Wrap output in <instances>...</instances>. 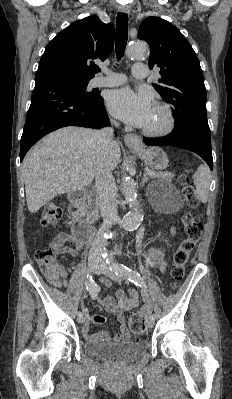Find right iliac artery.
<instances>
[{"instance_id":"82829eb1","label":"right iliac artery","mask_w":232,"mask_h":399,"mask_svg":"<svg viewBox=\"0 0 232 399\" xmlns=\"http://www.w3.org/2000/svg\"><path fill=\"white\" fill-rule=\"evenodd\" d=\"M85 285H86V290L89 292L91 297H97V294H98V291H97L98 285H97V283L92 278H89L87 280V282L85 283ZM82 315L83 314H82L81 311L77 312V316L78 317H81Z\"/></svg>"}]
</instances>
